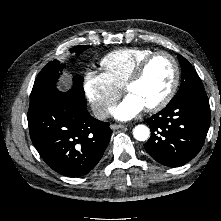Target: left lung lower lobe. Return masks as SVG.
I'll use <instances>...</instances> for the list:
<instances>
[{"label":"left lung lower lobe","instance_id":"0a47b994","mask_svg":"<svg viewBox=\"0 0 221 221\" xmlns=\"http://www.w3.org/2000/svg\"><path fill=\"white\" fill-rule=\"evenodd\" d=\"M210 120L207 95L188 96L169 103L145 120L151 129L145 150L165 166L183 165L201 150Z\"/></svg>","mask_w":221,"mask_h":221}]
</instances>
